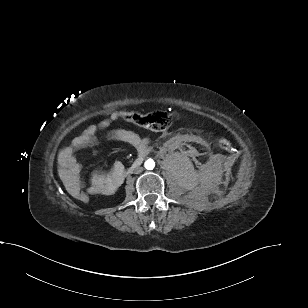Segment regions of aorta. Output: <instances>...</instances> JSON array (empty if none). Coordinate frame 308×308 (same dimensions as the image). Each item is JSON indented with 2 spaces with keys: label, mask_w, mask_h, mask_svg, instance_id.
<instances>
[{
  "label": "aorta",
  "mask_w": 308,
  "mask_h": 308,
  "mask_svg": "<svg viewBox=\"0 0 308 308\" xmlns=\"http://www.w3.org/2000/svg\"><path fill=\"white\" fill-rule=\"evenodd\" d=\"M144 166L147 170H152L155 167V162L153 159H148L145 161Z\"/></svg>",
  "instance_id": "762f6f07"
}]
</instances>
